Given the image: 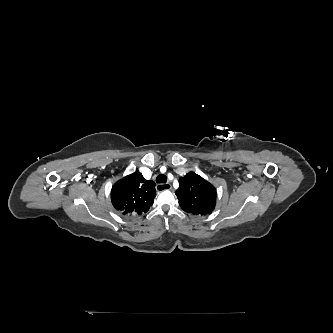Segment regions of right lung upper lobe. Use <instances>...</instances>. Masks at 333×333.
Instances as JSON below:
<instances>
[{
	"label": "right lung upper lobe",
	"mask_w": 333,
	"mask_h": 333,
	"mask_svg": "<svg viewBox=\"0 0 333 333\" xmlns=\"http://www.w3.org/2000/svg\"><path fill=\"white\" fill-rule=\"evenodd\" d=\"M155 196V183L146 180L139 171L116 182L111 190L112 205L126 216L146 213Z\"/></svg>",
	"instance_id": "1"
}]
</instances>
